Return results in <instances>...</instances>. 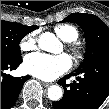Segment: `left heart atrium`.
I'll list each match as a JSON object with an SVG mask.
<instances>
[{"label": "left heart atrium", "mask_w": 109, "mask_h": 109, "mask_svg": "<svg viewBox=\"0 0 109 109\" xmlns=\"http://www.w3.org/2000/svg\"><path fill=\"white\" fill-rule=\"evenodd\" d=\"M23 66L28 74L51 81L68 72L72 67V61L65 54L33 53L25 57Z\"/></svg>", "instance_id": "obj_1"}]
</instances>
